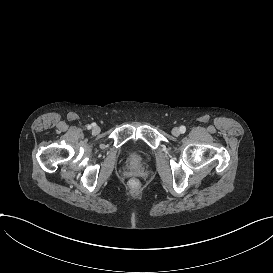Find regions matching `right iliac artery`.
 <instances>
[{
    "instance_id": "82829eb1",
    "label": "right iliac artery",
    "mask_w": 273,
    "mask_h": 273,
    "mask_svg": "<svg viewBox=\"0 0 273 273\" xmlns=\"http://www.w3.org/2000/svg\"><path fill=\"white\" fill-rule=\"evenodd\" d=\"M92 126H96V124H95V123H93V124H91V125H88V127H87V128H88V129H91V127H92Z\"/></svg>"
}]
</instances>
